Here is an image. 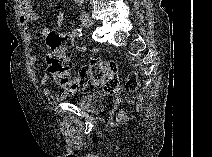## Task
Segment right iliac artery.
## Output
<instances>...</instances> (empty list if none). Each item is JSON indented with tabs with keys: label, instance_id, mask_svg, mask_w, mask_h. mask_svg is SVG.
Returning a JSON list of instances; mask_svg holds the SVG:
<instances>
[{
	"label": "right iliac artery",
	"instance_id": "right-iliac-artery-1",
	"mask_svg": "<svg viewBox=\"0 0 212 157\" xmlns=\"http://www.w3.org/2000/svg\"><path fill=\"white\" fill-rule=\"evenodd\" d=\"M72 35L75 37H81L83 35V32L79 28H75L72 30Z\"/></svg>",
	"mask_w": 212,
	"mask_h": 157
}]
</instances>
